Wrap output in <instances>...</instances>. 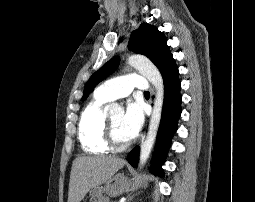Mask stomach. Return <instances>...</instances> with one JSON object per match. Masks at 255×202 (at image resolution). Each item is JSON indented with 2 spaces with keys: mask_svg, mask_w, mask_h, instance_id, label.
I'll use <instances>...</instances> for the list:
<instances>
[{
  "mask_svg": "<svg viewBox=\"0 0 255 202\" xmlns=\"http://www.w3.org/2000/svg\"><path fill=\"white\" fill-rule=\"evenodd\" d=\"M148 178L146 177L143 182L147 183ZM130 187V182L128 178H125V181H122V186H97L91 189L90 191V197L93 202L97 201L98 199L105 200V197L103 194H106L111 197H116L126 190H128Z\"/></svg>",
  "mask_w": 255,
  "mask_h": 202,
  "instance_id": "stomach-1",
  "label": "stomach"
}]
</instances>
